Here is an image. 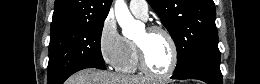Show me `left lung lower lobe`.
Listing matches in <instances>:
<instances>
[{"instance_id": "0a47b994", "label": "left lung lower lobe", "mask_w": 260, "mask_h": 84, "mask_svg": "<svg viewBox=\"0 0 260 84\" xmlns=\"http://www.w3.org/2000/svg\"><path fill=\"white\" fill-rule=\"evenodd\" d=\"M171 78L198 79L207 84H222L223 78L220 71V54L199 59L187 70L180 74H174Z\"/></svg>"}]
</instances>
